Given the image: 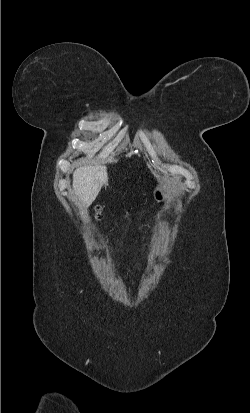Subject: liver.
Here are the masks:
<instances>
[{
    "mask_svg": "<svg viewBox=\"0 0 250 413\" xmlns=\"http://www.w3.org/2000/svg\"><path fill=\"white\" fill-rule=\"evenodd\" d=\"M103 185H108L106 166H82L73 173V189L82 209L96 199Z\"/></svg>",
    "mask_w": 250,
    "mask_h": 413,
    "instance_id": "6515ba94",
    "label": "liver"
}]
</instances>
